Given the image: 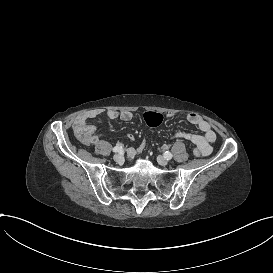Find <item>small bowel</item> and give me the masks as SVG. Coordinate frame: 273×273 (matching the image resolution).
Segmentation results:
<instances>
[{
    "label": "small bowel",
    "mask_w": 273,
    "mask_h": 273,
    "mask_svg": "<svg viewBox=\"0 0 273 273\" xmlns=\"http://www.w3.org/2000/svg\"><path fill=\"white\" fill-rule=\"evenodd\" d=\"M99 116H104L105 118L109 120H117L120 119L124 122H129L133 119L134 114L129 110H105V111H97L92 110L88 111L86 114H84L80 120H77L73 124V130L76 133V138L80 142H88L91 144V147L95 151H100L104 147V142L102 139H100V133L98 129H93L91 126L95 122V118ZM168 117H172V115H169ZM187 120L189 123L195 125L199 130L200 134L196 133H190L183 130H178L172 134L173 138H182L189 142H191L195 147L196 150L200 152L202 156H208L212 152V145L216 141V134L211 126V124L206 121L203 117H201L198 114H188ZM127 138L130 141H133L135 139L134 134L129 133L127 135ZM136 155H140L139 153V144L136 148L133 149L131 153V157L133 158Z\"/></svg>",
    "instance_id": "1"
}]
</instances>
